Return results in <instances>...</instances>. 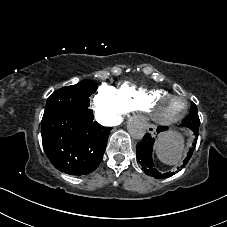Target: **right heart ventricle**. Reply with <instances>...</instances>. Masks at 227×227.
Here are the masks:
<instances>
[{
	"instance_id": "e07e8e85",
	"label": "right heart ventricle",
	"mask_w": 227,
	"mask_h": 227,
	"mask_svg": "<svg viewBox=\"0 0 227 227\" xmlns=\"http://www.w3.org/2000/svg\"><path fill=\"white\" fill-rule=\"evenodd\" d=\"M115 90L126 113L143 112L148 101L168 94L161 88H144L130 82L120 83Z\"/></svg>"
}]
</instances>
